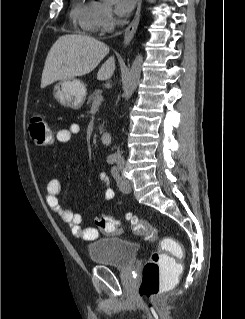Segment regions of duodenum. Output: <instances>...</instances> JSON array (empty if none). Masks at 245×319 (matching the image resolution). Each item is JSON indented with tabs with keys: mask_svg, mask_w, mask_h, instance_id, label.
<instances>
[{
	"mask_svg": "<svg viewBox=\"0 0 245 319\" xmlns=\"http://www.w3.org/2000/svg\"><path fill=\"white\" fill-rule=\"evenodd\" d=\"M101 139H102V142L106 145H109L110 142H111V134L110 132L108 131H105L102 133V136H101Z\"/></svg>",
	"mask_w": 245,
	"mask_h": 319,
	"instance_id": "obj_1",
	"label": "duodenum"
}]
</instances>
